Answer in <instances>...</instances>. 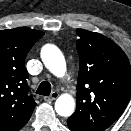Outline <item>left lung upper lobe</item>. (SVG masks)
<instances>
[{
    "label": "left lung upper lobe",
    "mask_w": 131,
    "mask_h": 131,
    "mask_svg": "<svg viewBox=\"0 0 131 131\" xmlns=\"http://www.w3.org/2000/svg\"><path fill=\"white\" fill-rule=\"evenodd\" d=\"M80 58L76 111L70 117L90 131L108 128L131 96V66L122 49L107 37L77 29Z\"/></svg>",
    "instance_id": "obj_1"
}]
</instances>
